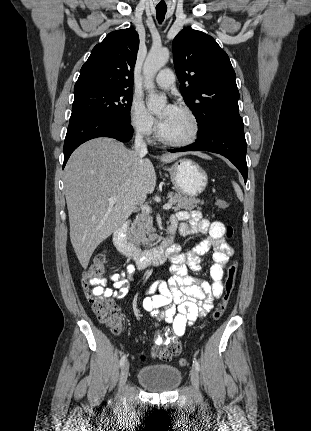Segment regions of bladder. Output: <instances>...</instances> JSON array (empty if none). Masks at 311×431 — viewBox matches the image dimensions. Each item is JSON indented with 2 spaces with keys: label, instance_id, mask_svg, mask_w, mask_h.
Instances as JSON below:
<instances>
[{
  "label": "bladder",
  "instance_id": "31cf9c89",
  "mask_svg": "<svg viewBox=\"0 0 311 431\" xmlns=\"http://www.w3.org/2000/svg\"><path fill=\"white\" fill-rule=\"evenodd\" d=\"M137 380L149 391L171 392L181 384L182 372L171 364H149L138 370Z\"/></svg>",
  "mask_w": 311,
  "mask_h": 431
}]
</instances>
